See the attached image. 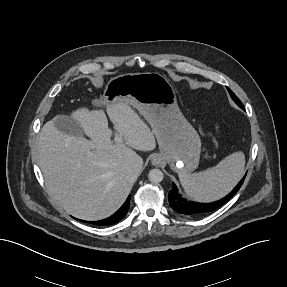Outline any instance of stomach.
<instances>
[{
    "label": "stomach",
    "mask_w": 287,
    "mask_h": 287,
    "mask_svg": "<svg viewBox=\"0 0 287 287\" xmlns=\"http://www.w3.org/2000/svg\"><path fill=\"white\" fill-rule=\"evenodd\" d=\"M97 103L132 105L150 124L161 160L178 174H188L197 168L200 137L181 113L174 88L163 75L146 72L113 77Z\"/></svg>",
    "instance_id": "obj_1"
}]
</instances>
